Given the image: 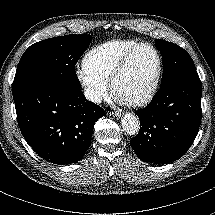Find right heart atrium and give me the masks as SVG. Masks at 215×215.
I'll return each mask as SVG.
<instances>
[{"mask_svg":"<svg viewBox=\"0 0 215 215\" xmlns=\"http://www.w3.org/2000/svg\"><path fill=\"white\" fill-rule=\"evenodd\" d=\"M76 80L89 102L99 104L107 97V83L90 76L84 69L76 70Z\"/></svg>","mask_w":215,"mask_h":215,"instance_id":"right-heart-atrium-1","label":"right heart atrium"}]
</instances>
